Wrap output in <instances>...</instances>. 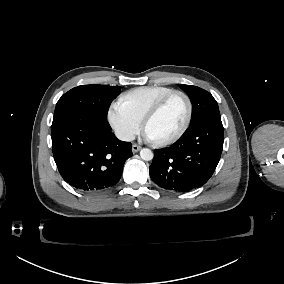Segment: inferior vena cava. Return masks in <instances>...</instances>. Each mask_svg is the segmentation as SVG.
Instances as JSON below:
<instances>
[{
    "label": "inferior vena cava",
    "mask_w": 284,
    "mask_h": 284,
    "mask_svg": "<svg viewBox=\"0 0 284 284\" xmlns=\"http://www.w3.org/2000/svg\"><path fill=\"white\" fill-rule=\"evenodd\" d=\"M116 136L119 139L124 140V141H132L135 139V135L132 132L127 131V130H118L116 132Z\"/></svg>",
    "instance_id": "602c4592"
}]
</instances>
